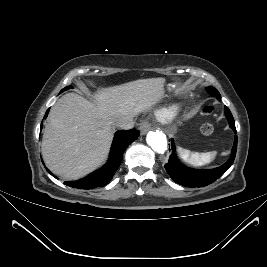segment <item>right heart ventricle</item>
Listing matches in <instances>:
<instances>
[{"label":"right heart ventricle","mask_w":267,"mask_h":267,"mask_svg":"<svg viewBox=\"0 0 267 267\" xmlns=\"http://www.w3.org/2000/svg\"><path fill=\"white\" fill-rule=\"evenodd\" d=\"M177 110H178V106L172 105V106L160 109L159 111H157L156 114L160 120L165 121V120L171 119L176 114Z\"/></svg>","instance_id":"obj_1"}]
</instances>
